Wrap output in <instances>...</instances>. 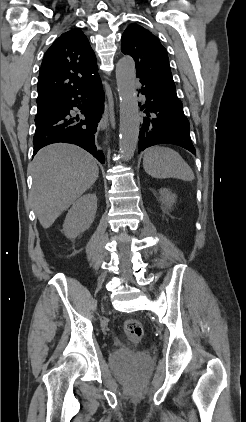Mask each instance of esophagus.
I'll return each instance as SVG.
<instances>
[{"mask_svg":"<svg viewBox=\"0 0 246 422\" xmlns=\"http://www.w3.org/2000/svg\"><path fill=\"white\" fill-rule=\"evenodd\" d=\"M108 118H109V106L107 104V102L105 103V112H104V116L101 122V126L102 127H107L108 126Z\"/></svg>","mask_w":246,"mask_h":422,"instance_id":"1","label":"esophagus"}]
</instances>
